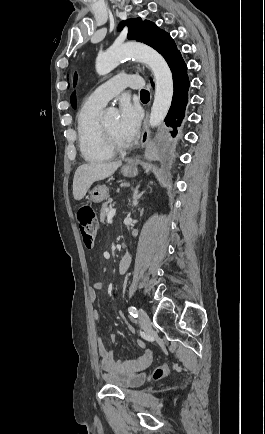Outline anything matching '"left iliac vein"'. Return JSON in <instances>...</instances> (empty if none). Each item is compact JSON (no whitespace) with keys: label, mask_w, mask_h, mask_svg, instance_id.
<instances>
[{"label":"left iliac vein","mask_w":265,"mask_h":434,"mask_svg":"<svg viewBox=\"0 0 265 434\" xmlns=\"http://www.w3.org/2000/svg\"><path fill=\"white\" fill-rule=\"evenodd\" d=\"M138 318H139V322H140L141 326L145 330H147L148 328L151 327L150 318H149L148 314L143 309L139 310V317Z\"/></svg>","instance_id":"1"}]
</instances>
